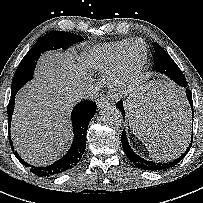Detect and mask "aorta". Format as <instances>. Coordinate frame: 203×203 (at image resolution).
<instances>
[{
    "label": "aorta",
    "instance_id": "762f6f07",
    "mask_svg": "<svg viewBox=\"0 0 203 203\" xmlns=\"http://www.w3.org/2000/svg\"><path fill=\"white\" fill-rule=\"evenodd\" d=\"M102 121L111 127H120L123 122L121 112L114 106H106L101 110Z\"/></svg>",
    "mask_w": 203,
    "mask_h": 203
}]
</instances>
